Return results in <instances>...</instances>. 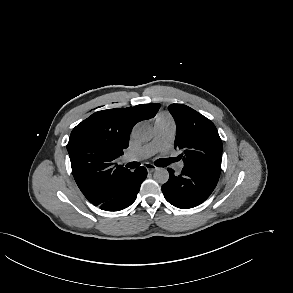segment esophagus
I'll list each match as a JSON object with an SVG mask.
<instances>
[{"label": "esophagus", "instance_id": "34e87169", "mask_svg": "<svg viewBox=\"0 0 293 293\" xmlns=\"http://www.w3.org/2000/svg\"><path fill=\"white\" fill-rule=\"evenodd\" d=\"M145 168L147 169L148 172H153L157 170V167L151 163H146Z\"/></svg>", "mask_w": 293, "mask_h": 293}]
</instances>
